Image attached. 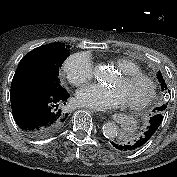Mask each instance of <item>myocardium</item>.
<instances>
[{
	"label": "myocardium",
	"mask_w": 177,
	"mask_h": 177,
	"mask_svg": "<svg viewBox=\"0 0 177 177\" xmlns=\"http://www.w3.org/2000/svg\"><path fill=\"white\" fill-rule=\"evenodd\" d=\"M120 78L123 81H129V82L143 81L148 86V93L142 100L126 103V106L129 109L138 110V109L144 108L145 106L150 104V102L154 99L156 95L157 86H156L155 81L151 77L140 72V73H121Z\"/></svg>",
	"instance_id": "myocardium-1"
}]
</instances>
